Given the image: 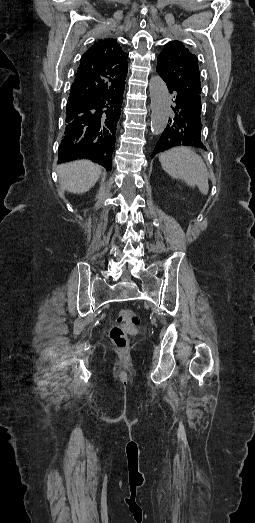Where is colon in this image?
<instances>
[{
  "label": "colon",
  "mask_w": 255,
  "mask_h": 523,
  "mask_svg": "<svg viewBox=\"0 0 255 523\" xmlns=\"http://www.w3.org/2000/svg\"><path fill=\"white\" fill-rule=\"evenodd\" d=\"M117 321L120 324H138L140 319L132 310L121 309L117 313ZM110 339L120 350H125L128 347V336L122 326H114L110 330Z\"/></svg>",
  "instance_id": "5ec220e1"
}]
</instances>
